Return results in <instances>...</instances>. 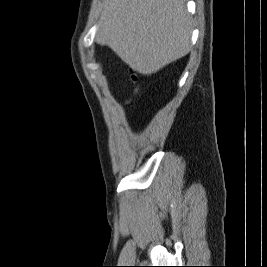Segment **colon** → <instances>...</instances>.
I'll return each mask as SVG.
<instances>
[{
	"instance_id": "colon-1",
	"label": "colon",
	"mask_w": 267,
	"mask_h": 267,
	"mask_svg": "<svg viewBox=\"0 0 267 267\" xmlns=\"http://www.w3.org/2000/svg\"><path fill=\"white\" fill-rule=\"evenodd\" d=\"M131 79H132V81H136L137 76H136L134 73H132V75H131Z\"/></svg>"
}]
</instances>
